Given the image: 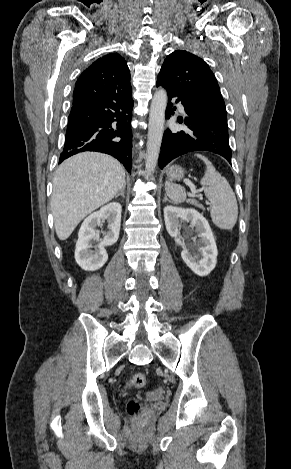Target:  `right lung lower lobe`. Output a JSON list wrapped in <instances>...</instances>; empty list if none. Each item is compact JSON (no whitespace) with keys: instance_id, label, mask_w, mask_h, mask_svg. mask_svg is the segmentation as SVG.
I'll return each mask as SVG.
<instances>
[{"instance_id":"98d812e1","label":"right lung lower lobe","mask_w":291,"mask_h":469,"mask_svg":"<svg viewBox=\"0 0 291 469\" xmlns=\"http://www.w3.org/2000/svg\"><path fill=\"white\" fill-rule=\"evenodd\" d=\"M132 109L131 94L118 92L73 103L59 163L79 152L97 151L117 158L130 172Z\"/></svg>"}]
</instances>
